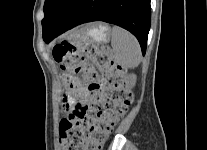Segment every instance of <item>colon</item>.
Masks as SVG:
<instances>
[{
    "instance_id": "1",
    "label": "colon",
    "mask_w": 207,
    "mask_h": 150,
    "mask_svg": "<svg viewBox=\"0 0 207 150\" xmlns=\"http://www.w3.org/2000/svg\"><path fill=\"white\" fill-rule=\"evenodd\" d=\"M54 60L60 65L63 77L62 96L70 95V87H75L71 74H82L87 81L88 90L97 97H103L102 106L84 104L75 99H62L63 107H73L69 115L60 123V139L63 150H78L88 138L92 150H98L106 141L116 122L127 112L132 94L126 89L123 68L91 42L79 44L62 43L52 50ZM90 60L106 73L103 91L97 73L84 65ZM65 114L63 111L60 113Z\"/></svg>"
}]
</instances>
